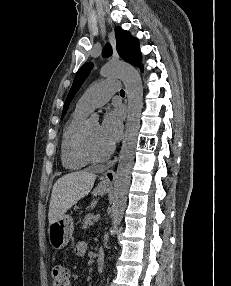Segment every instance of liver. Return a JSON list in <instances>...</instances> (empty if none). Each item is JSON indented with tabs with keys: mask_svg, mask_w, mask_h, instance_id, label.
Returning a JSON list of instances; mask_svg holds the SVG:
<instances>
[{
	"mask_svg": "<svg viewBox=\"0 0 231 286\" xmlns=\"http://www.w3.org/2000/svg\"><path fill=\"white\" fill-rule=\"evenodd\" d=\"M95 180V174L85 171L72 172L59 178L51 193L49 223L57 221L80 199L87 196Z\"/></svg>",
	"mask_w": 231,
	"mask_h": 286,
	"instance_id": "liver-1",
	"label": "liver"
}]
</instances>
